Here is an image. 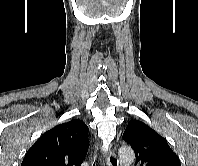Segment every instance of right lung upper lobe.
<instances>
[{"instance_id": "1", "label": "right lung upper lobe", "mask_w": 198, "mask_h": 166, "mask_svg": "<svg viewBox=\"0 0 198 166\" xmlns=\"http://www.w3.org/2000/svg\"><path fill=\"white\" fill-rule=\"evenodd\" d=\"M88 145L86 124L71 120L44 133L28 150L21 166H80Z\"/></svg>"}]
</instances>
